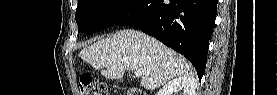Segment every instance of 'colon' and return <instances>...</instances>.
<instances>
[{"label": "colon", "mask_w": 277, "mask_h": 95, "mask_svg": "<svg viewBox=\"0 0 277 95\" xmlns=\"http://www.w3.org/2000/svg\"><path fill=\"white\" fill-rule=\"evenodd\" d=\"M81 92L84 95H106L108 94V87L105 83L90 76H81L80 78ZM129 94L131 95H145L141 90H133Z\"/></svg>", "instance_id": "1"}]
</instances>
